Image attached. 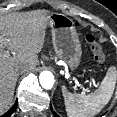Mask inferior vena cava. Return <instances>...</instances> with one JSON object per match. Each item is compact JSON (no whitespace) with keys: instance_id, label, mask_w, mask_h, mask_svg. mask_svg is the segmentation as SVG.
<instances>
[{"instance_id":"inferior-vena-cava-1","label":"inferior vena cava","mask_w":117,"mask_h":117,"mask_svg":"<svg viewBox=\"0 0 117 117\" xmlns=\"http://www.w3.org/2000/svg\"><path fill=\"white\" fill-rule=\"evenodd\" d=\"M24 71H26V68H19L18 69V73L20 74V73H23Z\"/></svg>"}]
</instances>
